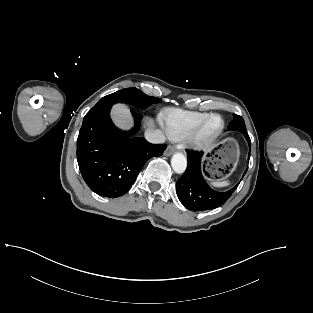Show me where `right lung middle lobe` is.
I'll return each mask as SVG.
<instances>
[{"label": "right lung middle lobe", "mask_w": 313, "mask_h": 313, "mask_svg": "<svg viewBox=\"0 0 313 313\" xmlns=\"http://www.w3.org/2000/svg\"><path fill=\"white\" fill-rule=\"evenodd\" d=\"M159 101V98L148 96L137 88H126L101 98L96 105L102 103H128L145 108Z\"/></svg>", "instance_id": "dd1d6c3e"}]
</instances>
